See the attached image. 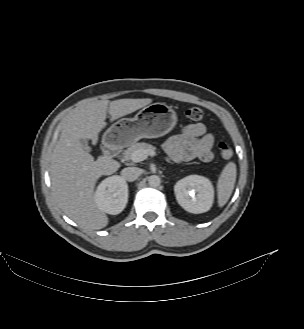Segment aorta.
<instances>
[{
  "label": "aorta",
  "mask_w": 304,
  "mask_h": 329,
  "mask_svg": "<svg viewBox=\"0 0 304 329\" xmlns=\"http://www.w3.org/2000/svg\"><path fill=\"white\" fill-rule=\"evenodd\" d=\"M160 182H161V179L159 176L157 175H151L149 178H148V184L151 186V187H158L160 185Z\"/></svg>",
  "instance_id": "aorta-1"
}]
</instances>
